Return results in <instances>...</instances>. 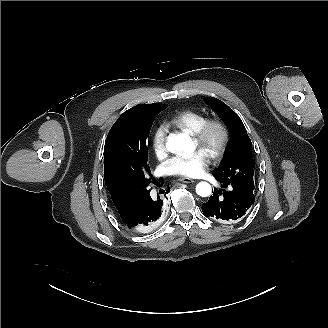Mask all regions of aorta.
I'll use <instances>...</instances> for the list:
<instances>
[{
  "label": "aorta",
  "mask_w": 328,
  "mask_h": 328,
  "mask_svg": "<svg viewBox=\"0 0 328 328\" xmlns=\"http://www.w3.org/2000/svg\"><path fill=\"white\" fill-rule=\"evenodd\" d=\"M167 149L171 153H192L195 150V145L192 139L187 134H177L168 137ZM211 185L207 182H200L196 186V193L201 197H208L211 195Z\"/></svg>",
  "instance_id": "aorta-1"
}]
</instances>
